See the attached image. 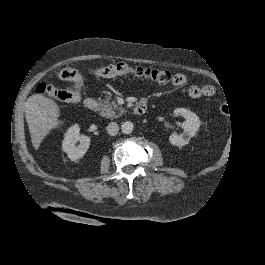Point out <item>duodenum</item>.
I'll use <instances>...</instances> for the list:
<instances>
[{
  "instance_id": "1",
  "label": "duodenum",
  "mask_w": 265,
  "mask_h": 265,
  "mask_svg": "<svg viewBox=\"0 0 265 265\" xmlns=\"http://www.w3.org/2000/svg\"><path fill=\"white\" fill-rule=\"evenodd\" d=\"M84 106L86 109L90 111H94L97 109L98 103L94 98H86L84 100ZM146 110H147L146 103L139 102L134 108V113L140 116V115L145 114Z\"/></svg>"
}]
</instances>
